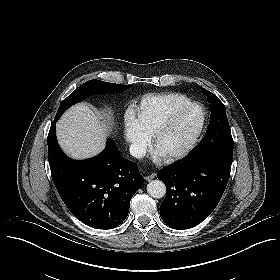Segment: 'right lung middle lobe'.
<instances>
[{
    "label": "right lung middle lobe",
    "instance_id": "obj_1",
    "mask_svg": "<svg viewBox=\"0 0 280 280\" xmlns=\"http://www.w3.org/2000/svg\"><path fill=\"white\" fill-rule=\"evenodd\" d=\"M128 85L115 84L103 82L100 80H90L81 86H79L74 92H72L64 101H62L55 120L61 116V114L69 108L71 105L82 101L93 94H117L127 90Z\"/></svg>",
    "mask_w": 280,
    "mask_h": 280
}]
</instances>
